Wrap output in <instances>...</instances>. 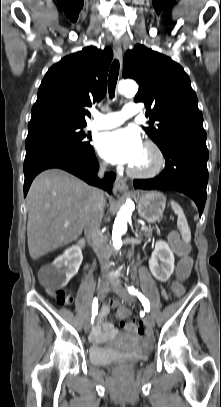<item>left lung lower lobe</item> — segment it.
<instances>
[{"label": "left lung lower lobe", "mask_w": 221, "mask_h": 407, "mask_svg": "<svg viewBox=\"0 0 221 407\" xmlns=\"http://www.w3.org/2000/svg\"><path fill=\"white\" fill-rule=\"evenodd\" d=\"M161 151L166 161L163 172L153 179L134 180L135 189H168L182 192L194 200L201 216L208 182L205 131L178 130L169 136Z\"/></svg>", "instance_id": "left-lung-lower-lobe-1"}]
</instances>
